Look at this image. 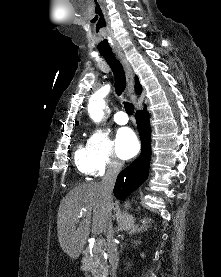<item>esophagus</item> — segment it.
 <instances>
[{
    "label": "esophagus",
    "instance_id": "1",
    "mask_svg": "<svg viewBox=\"0 0 221 277\" xmlns=\"http://www.w3.org/2000/svg\"><path fill=\"white\" fill-rule=\"evenodd\" d=\"M114 53L116 57L120 60L125 74H126V80H127V89L129 93L134 92V79H133V72L131 69V66L129 62L127 61L126 57L124 56L123 52L120 49H115Z\"/></svg>",
    "mask_w": 221,
    "mask_h": 277
}]
</instances>
